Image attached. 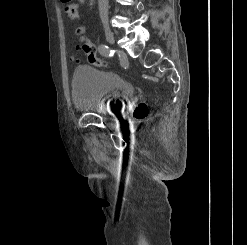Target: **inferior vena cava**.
<instances>
[{
    "label": "inferior vena cava",
    "instance_id": "1",
    "mask_svg": "<svg viewBox=\"0 0 247 245\" xmlns=\"http://www.w3.org/2000/svg\"><path fill=\"white\" fill-rule=\"evenodd\" d=\"M99 14L104 26H108V0H98Z\"/></svg>",
    "mask_w": 247,
    "mask_h": 245
}]
</instances>
